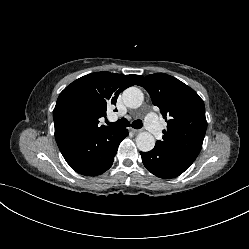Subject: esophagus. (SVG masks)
<instances>
[{
  "label": "esophagus",
  "mask_w": 249,
  "mask_h": 249,
  "mask_svg": "<svg viewBox=\"0 0 249 249\" xmlns=\"http://www.w3.org/2000/svg\"><path fill=\"white\" fill-rule=\"evenodd\" d=\"M131 131H132L133 133H135V134H138V133H141L143 130L131 128Z\"/></svg>",
  "instance_id": "esophagus-1"
}]
</instances>
